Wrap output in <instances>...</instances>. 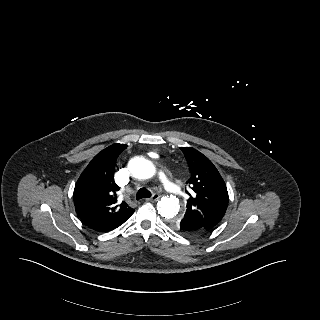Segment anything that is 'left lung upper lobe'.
Wrapping results in <instances>:
<instances>
[{
  "label": "left lung upper lobe",
  "instance_id": "left-lung-upper-lobe-1",
  "mask_svg": "<svg viewBox=\"0 0 320 320\" xmlns=\"http://www.w3.org/2000/svg\"><path fill=\"white\" fill-rule=\"evenodd\" d=\"M190 169L189 187L183 219H190L199 228L211 230L223 218L228 206V192L224 180L213 163L192 147H180ZM179 221V220H178ZM178 221L172 226L178 228Z\"/></svg>",
  "mask_w": 320,
  "mask_h": 320
}]
</instances>
